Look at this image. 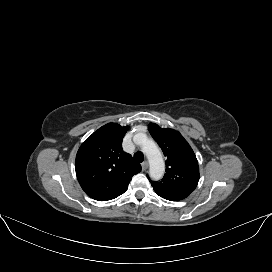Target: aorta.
I'll return each mask as SVG.
<instances>
[{
	"instance_id": "obj_1",
	"label": "aorta",
	"mask_w": 272,
	"mask_h": 272,
	"mask_svg": "<svg viewBox=\"0 0 272 272\" xmlns=\"http://www.w3.org/2000/svg\"><path fill=\"white\" fill-rule=\"evenodd\" d=\"M139 138V143L150 164L149 174L151 178L154 180L161 179L164 175L165 164L160 149L154 141L148 140L143 134Z\"/></svg>"
}]
</instances>
